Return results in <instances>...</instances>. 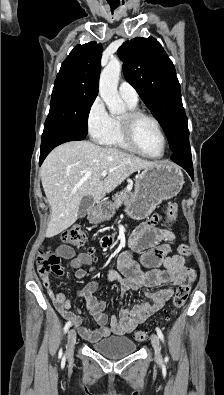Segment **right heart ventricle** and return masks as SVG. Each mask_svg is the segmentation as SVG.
<instances>
[{"mask_svg": "<svg viewBox=\"0 0 224 395\" xmlns=\"http://www.w3.org/2000/svg\"><path fill=\"white\" fill-rule=\"evenodd\" d=\"M126 105L129 110L136 109V104H131L126 102ZM99 141L103 145L108 147H114L126 151H134L130 148V146L126 143V141L123 138L119 117H112V122L109 131Z\"/></svg>", "mask_w": 224, "mask_h": 395, "instance_id": "right-heart-ventricle-1", "label": "right heart ventricle"}]
</instances>
